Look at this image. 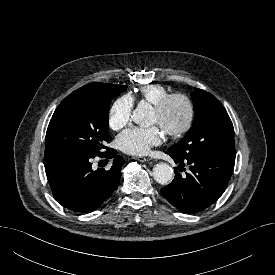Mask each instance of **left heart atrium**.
I'll list each match as a JSON object with an SVG mask.
<instances>
[{
    "label": "left heart atrium",
    "mask_w": 275,
    "mask_h": 275,
    "mask_svg": "<svg viewBox=\"0 0 275 275\" xmlns=\"http://www.w3.org/2000/svg\"><path fill=\"white\" fill-rule=\"evenodd\" d=\"M162 140V132L158 126L148 128L135 127L121 133L118 144L122 151L133 155H144L150 147L158 145Z\"/></svg>",
    "instance_id": "1"
}]
</instances>
